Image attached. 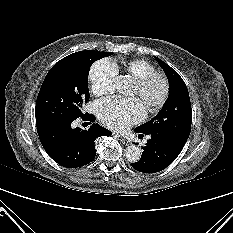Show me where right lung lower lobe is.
Wrapping results in <instances>:
<instances>
[{
  "instance_id": "1",
  "label": "right lung lower lobe",
  "mask_w": 233,
  "mask_h": 233,
  "mask_svg": "<svg viewBox=\"0 0 233 233\" xmlns=\"http://www.w3.org/2000/svg\"><path fill=\"white\" fill-rule=\"evenodd\" d=\"M81 118L90 122L96 119L89 113L83 114ZM73 121L37 126L40 141L47 154L59 165L67 168L90 163L96 155L95 139L112 134L97 123H93L87 131L79 127L73 129Z\"/></svg>"
}]
</instances>
